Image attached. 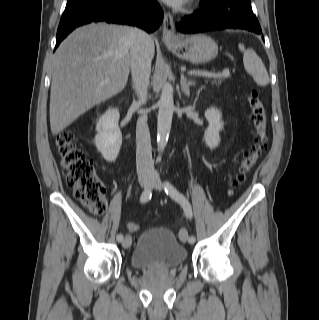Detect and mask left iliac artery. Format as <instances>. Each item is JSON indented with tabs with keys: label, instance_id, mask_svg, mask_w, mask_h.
Listing matches in <instances>:
<instances>
[{
	"label": "left iliac artery",
	"instance_id": "44dca946",
	"mask_svg": "<svg viewBox=\"0 0 319 320\" xmlns=\"http://www.w3.org/2000/svg\"><path fill=\"white\" fill-rule=\"evenodd\" d=\"M165 192L172 199L177 201L183 207V210L188 218H192V209L189 201L181 194L171 183L165 182ZM181 232V230H180ZM188 241L190 244L195 243L196 239L194 236H189Z\"/></svg>",
	"mask_w": 319,
	"mask_h": 320
}]
</instances>
